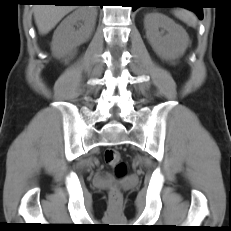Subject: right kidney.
Returning a JSON list of instances; mask_svg holds the SVG:
<instances>
[{"label": "right kidney", "mask_w": 231, "mask_h": 231, "mask_svg": "<svg viewBox=\"0 0 231 231\" xmlns=\"http://www.w3.org/2000/svg\"><path fill=\"white\" fill-rule=\"evenodd\" d=\"M96 15L97 12L93 7L83 6L66 17L54 32L51 43L52 53L58 58L71 56L78 46L90 38Z\"/></svg>", "instance_id": "obj_1"}]
</instances>
